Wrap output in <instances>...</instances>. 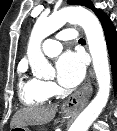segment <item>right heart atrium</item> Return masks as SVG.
Returning <instances> with one entry per match:
<instances>
[{"label":"right heart atrium","mask_w":117,"mask_h":131,"mask_svg":"<svg viewBox=\"0 0 117 131\" xmlns=\"http://www.w3.org/2000/svg\"><path fill=\"white\" fill-rule=\"evenodd\" d=\"M45 86L50 95L57 92V86L53 82H45Z\"/></svg>","instance_id":"obj_1"}]
</instances>
